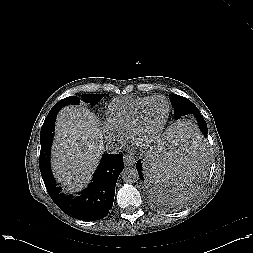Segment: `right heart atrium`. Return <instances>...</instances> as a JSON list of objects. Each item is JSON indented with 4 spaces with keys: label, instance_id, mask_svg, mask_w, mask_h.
<instances>
[{
    "label": "right heart atrium",
    "instance_id": "d8ad5b80",
    "mask_svg": "<svg viewBox=\"0 0 253 253\" xmlns=\"http://www.w3.org/2000/svg\"><path fill=\"white\" fill-rule=\"evenodd\" d=\"M104 130L108 136V138L112 139V140H121V135L116 134L115 132H113L110 127L107 125L104 126Z\"/></svg>",
    "mask_w": 253,
    "mask_h": 253
}]
</instances>
